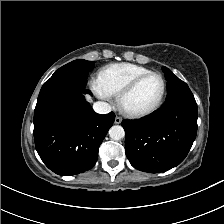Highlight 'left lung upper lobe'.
<instances>
[{
    "instance_id": "5c2ea615",
    "label": "left lung upper lobe",
    "mask_w": 224,
    "mask_h": 224,
    "mask_svg": "<svg viewBox=\"0 0 224 224\" xmlns=\"http://www.w3.org/2000/svg\"><path fill=\"white\" fill-rule=\"evenodd\" d=\"M162 69L167 80V96L172 95L181 89L188 88V85L180 80L177 76H175L170 69L164 66L162 67Z\"/></svg>"
}]
</instances>
